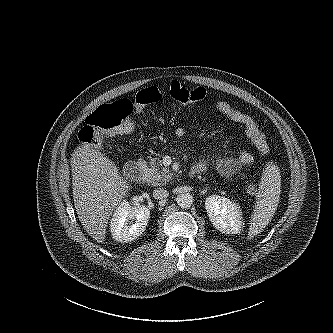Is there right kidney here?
I'll return each instance as SVG.
<instances>
[{
  "mask_svg": "<svg viewBox=\"0 0 333 333\" xmlns=\"http://www.w3.org/2000/svg\"><path fill=\"white\" fill-rule=\"evenodd\" d=\"M150 218V210L143 205H130L123 201L115 210L110 222L112 238L121 243H127L138 238L146 229ZM129 219L136 223L128 225Z\"/></svg>",
  "mask_w": 333,
  "mask_h": 333,
  "instance_id": "ca27d5eb",
  "label": "right kidney"
}]
</instances>
